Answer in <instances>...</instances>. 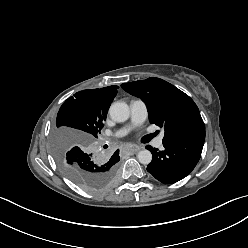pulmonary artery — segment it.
Segmentation results:
<instances>
[{
	"label": "pulmonary artery",
	"mask_w": 248,
	"mask_h": 248,
	"mask_svg": "<svg viewBox=\"0 0 248 248\" xmlns=\"http://www.w3.org/2000/svg\"><path fill=\"white\" fill-rule=\"evenodd\" d=\"M148 115L147 111V106L146 104L141 101V100H133L130 103V117H131V122L134 125L141 124L143 123ZM126 133V129H122L117 132V135H123ZM154 145L157 148H162L163 142H162V137H159L156 139Z\"/></svg>",
	"instance_id": "pulmonary-artery-1"
}]
</instances>
